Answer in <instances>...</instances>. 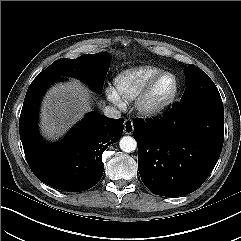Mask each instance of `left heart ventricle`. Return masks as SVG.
<instances>
[{
  "mask_svg": "<svg viewBox=\"0 0 241 241\" xmlns=\"http://www.w3.org/2000/svg\"><path fill=\"white\" fill-rule=\"evenodd\" d=\"M173 79L171 77L163 78L155 87L153 99L158 101L167 97L173 90Z\"/></svg>",
  "mask_w": 241,
  "mask_h": 241,
  "instance_id": "left-heart-ventricle-1",
  "label": "left heart ventricle"
}]
</instances>
